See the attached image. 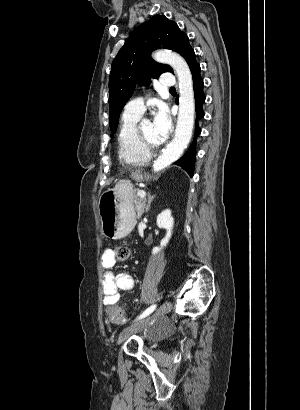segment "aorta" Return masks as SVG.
<instances>
[{
	"instance_id": "762f6f07",
	"label": "aorta",
	"mask_w": 300,
	"mask_h": 410,
	"mask_svg": "<svg viewBox=\"0 0 300 410\" xmlns=\"http://www.w3.org/2000/svg\"><path fill=\"white\" fill-rule=\"evenodd\" d=\"M153 58L173 68L179 81L180 93L174 138L153 163V171L158 172L176 161L188 146L194 126L195 99L192 75L183 57L168 50H158L153 53Z\"/></svg>"
}]
</instances>
